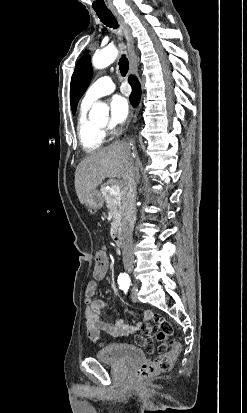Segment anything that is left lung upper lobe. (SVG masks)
I'll return each instance as SVG.
<instances>
[{"label":"left lung upper lobe","instance_id":"obj_1","mask_svg":"<svg viewBox=\"0 0 247 413\" xmlns=\"http://www.w3.org/2000/svg\"><path fill=\"white\" fill-rule=\"evenodd\" d=\"M92 73L93 72L90 56L85 55L76 64L74 73L71 78L70 104L73 114H75L76 112V108L81 96L84 94L90 84Z\"/></svg>","mask_w":247,"mask_h":413}]
</instances>
